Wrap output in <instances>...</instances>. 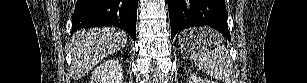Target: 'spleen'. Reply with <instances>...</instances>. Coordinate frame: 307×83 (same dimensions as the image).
<instances>
[{
  "mask_svg": "<svg viewBox=\"0 0 307 83\" xmlns=\"http://www.w3.org/2000/svg\"><path fill=\"white\" fill-rule=\"evenodd\" d=\"M195 35V47L191 50L192 60L206 74L230 83L233 76V65L228 51L222 44V36L211 29H191Z\"/></svg>",
  "mask_w": 307,
  "mask_h": 83,
  "instance_id": "3e777b00",
  "label": "spleen"
}]
</instances>
